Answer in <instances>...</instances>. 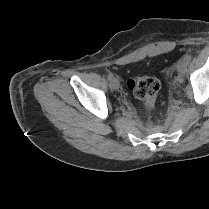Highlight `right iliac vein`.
Masks as SVG:
<instances>
[{"mask_svg":"<svg viewBox=\"0 0 209 209\" xmlns=\"http://www.w3.org/2000/svg\"><path fill=\"white\" fill-rule=\"evenodd\" d=\"M112 90H117L119 88V80L117 78H113L109 84Z\"/></svg>","mask_w":209,"mask_h":209,"instance_id":"obj_1","label":"right iliac vein"}]
</instances>
